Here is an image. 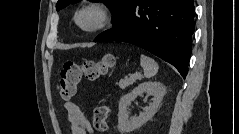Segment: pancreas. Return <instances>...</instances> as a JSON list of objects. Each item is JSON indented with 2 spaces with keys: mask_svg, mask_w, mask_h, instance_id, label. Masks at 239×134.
Returning a JSON list of instances; mask_svg holds the SVG:
<instances>
[{
  "mask_svg": "<svg viewBox=\"0 0 239 134\" xmlns=\"http://www.w3.org/2000/svg\"><path fill=\"white\" fill-rule=\"evenodd\" d=\"M142 78V76L140 74L138 75H131L129 78H124L121 79L118 83H116V85L119 86L120 89H125L128 86L134 84L137 80H140Z\"/></svg>",
  "mask_w": 239,
  "mask_h": 134,
  "instance_id": "obj_1",
  "label": "pancreas"
}]
</instances>
